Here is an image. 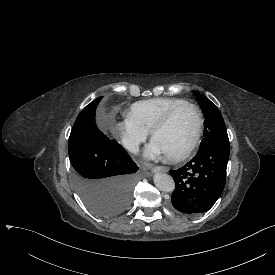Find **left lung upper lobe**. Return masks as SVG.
Masks as SVG:
<instances>
[{"label":"left lung upper lobe","instance_id":"obj_1","mask_svg":"<svg viewBox=\"0 0 275 275\" xmlns=\"http://www.w3.org/2000/svg\"><path fill=\"white\" fill-rule=\"evenodd\" d=\"M195 94L199 98L205 115V138L201 142L200 149L218 142H229L226 126L219 109L204 95H200L199 92H195Z\"/></svg>","mask_w":275,"mask_h":275}]
</instances>
